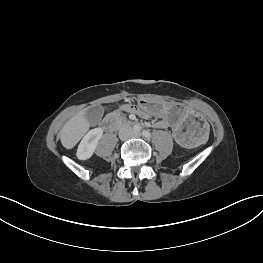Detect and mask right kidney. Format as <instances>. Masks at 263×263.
<instances>
[{"instance_id":"ca27d5eb","label":"right kidney","mask_w":263,"mask_h":263,"mask_svg":"<svg viewBox=\"0 0 263 263\" xmlns=\"http://www.w3.org/2000/svg\"><path fill=\"white\" fill-rule=\"evenodd\" d=\"M103 135V130L101 128H95L90 130L81 140L78 149H77V157L80 160L89 159Z\"/></svg>"}]
</instances>
